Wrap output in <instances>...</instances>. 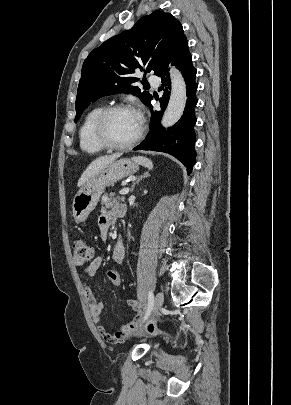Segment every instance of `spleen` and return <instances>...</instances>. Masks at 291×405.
I'll return each mask as SVG.
<instances>
[{
	"label": "spleen",
	"instance_id": "spleen-1",
	"mask_svg": "<svg viewBox=\"0 0 291 405\" xmlns=\"http://www.w3.org/2000/svg\"><path fill=\"white\" fill-rule=\"evenodd\" d=\"M138 164H141L149 169L153 168L152 161L146 157L138 156L133 158Z\"/></svg>",
	"mask_w": 291,
	"mask_h": 405
}]
</instances>
